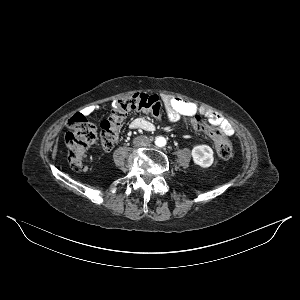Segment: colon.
I'll return each instance as SVG.
<instances>
[{
    "mask_svg": "<svg viewBox=\"0 0 300 300\" xmlns=\"http://www.w3.org/2000/svg\"><path fill=\"white\" fill-rule=\"evenodd\" d=\"M144 112L160 118L163 105L157 95L136 93L117 100L110 116L101 123L100 142L103 148L111 149L117 142L122 123L132 112ZM195 129L205 132L214 139L216 151L220 158L229 159L233 155L231 142L219 128L208 124L201 116L188 121ZM69 131L65 136L68 149V163L72 170L85 169V153L97 138L96 127L82 115H74L68 120Z\"/></svg>",
    "mask_w": 300,
    "mask_h": 300,
    "instance_id": "obj_1",
    "label": "colon"
}]
</instances>
